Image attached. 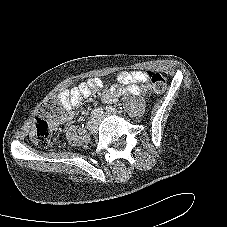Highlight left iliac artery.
I'll list each match as a JSON object with an SVG mask.
<instances>
[{"instance_id":"1","label":"left iliac artery","mask_w":227,"mask_h":227,"mask_svg":"<svg viewBox=\"0 0 227 227\" xmlns=\"http://www.w3.org/2000/svg\"><path fill=\"white\" fill-rule=\"evenodd\" d=\"M105 110L108 114H116L117 112L116 109L113 108L112 106H106Z\"/></svg>"}]
</instances>
